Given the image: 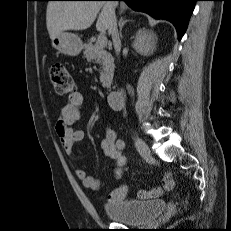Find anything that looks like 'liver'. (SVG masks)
Here are the masks:
<instances>
[{
  "instance_id": "6515ba94",
  "label": "liver",
  "mask_w": 231,
  "mask_h": 231,
  "mask_svg": "<svg viewBox=\"0 0 231 231\" xmlns=\"http://www.w3.org/2000/svg\"><path fill=\"white\" fill-rule=\"evenodd\" d=\"M113 2L102 1H49L46 11V25L52 39L67 30H84L89 28L98 16L96 28L104 32L110 27L115 8ZM126 5L121 3V11ZM101 10V12H100Z\"/></svg>"
}]
</instances>
